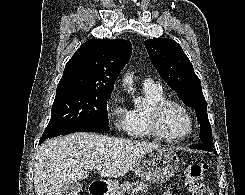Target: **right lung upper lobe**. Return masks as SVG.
<instances>
[{
	"label": "right lung upper lobe",
	"mask_w": 245,
	"mask_h": 195,
	"mask_svg": "<svg viewBox=\"0 0 245 195\" xmlns=\"http://www.w3.org/2000/svg\"><path fill=\"white\" fill-rule=\"evenodd\" d=\"M132 45L123 39H92L67 62L56 93L96 89L112 92L118 74L131 57Z\"/></svg>",
	"instance_id": "obj_1"
}]
</instances>
